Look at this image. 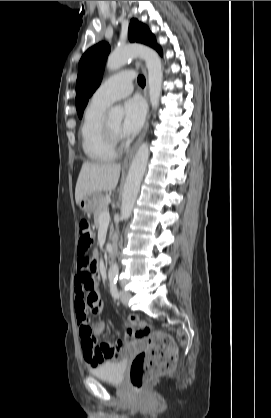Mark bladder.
I'll use <instances>...</instances> for the list:
<instances>
[{"label":"bladder","instance_id":"1","mask_svg":"<svg viewBox=\"0 0 271 418\" xmlns=\"http://www.w3.org/2000/svg\"><path fill=\"white\" fill-rule=\"evenodd\" d=\"M125 371V360L107 361L89 370L92 376L113 384L123 381Z\"/></svg>","mask_w":271,"mask_h":418}]
</instances>
